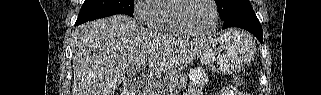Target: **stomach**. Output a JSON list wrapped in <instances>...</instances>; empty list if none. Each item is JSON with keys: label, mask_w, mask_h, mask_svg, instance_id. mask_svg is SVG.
Wrapping results in <instances>:
<instances>
[{"label": "stomach", "mask_w": 321, "mask_h": 95, "mask_svg": "<svg viewBox=\"0 0 321 95\" xmlns=\"http://www.w3.org/2000/svg\"><path fill=\"white\" fill-rule=\"evenodd\" d=\"M255 53L256 45L249 34L229 30L208 41L200 51V60L212 71L234 73L248 65Z\"/></svg>", "instance_id": "stomach-1"}]
</instances>
